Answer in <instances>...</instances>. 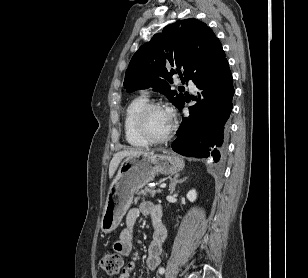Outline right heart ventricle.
<instances>
[{"label": "right heart ventricle", "mask_w": 308, "mask_h": 278, "mask_svg": "<svg viewBox=\"0 0 308 278\" xmlns=\"http://www.w3.org/2000/svg\"><path fill=\"white\" fill-rule=\"evenodd\" d=\"M145 96L133 98L125 107L123 114V129L127 143L135 148L147 147L149 143L145 141L136 131L134 117L137 111L147 103Z\"/></svg>", "instance_id": "1"}]
</instances>
